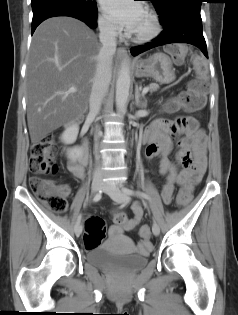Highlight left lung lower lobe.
Returning a JSON list of instances; mask_svg holds the SVG:
<instances>
[{"mask_svg":"<svg viewBox=\"0 0 238 315\" xmlns=\"http://www.w3.org/2000/svg\"><path fill=\"white\" fill-rule=\"evenodd\" d=\"M200 4H185L177 7L170 13L160 16V24L164 30L152 42L131 49L136 56L151 48L170 44L188 43L197 46L206 57L207 47L202 33V19Z\"/></svg>","mask_w":238,"mask_h":315,"instance_id":"1","label":"left lung lower lobe"}]
</instances>
